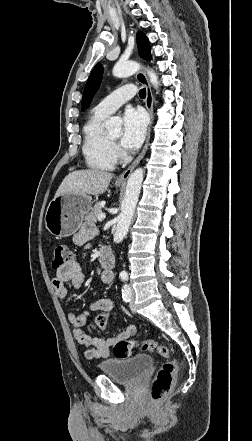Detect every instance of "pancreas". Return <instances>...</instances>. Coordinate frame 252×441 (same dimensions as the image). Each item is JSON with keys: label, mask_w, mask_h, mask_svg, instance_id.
Segmentation results:
<instances>
[{"label": "pancreas", "mask_w": 252, "mask_h": 441, "mask_svg": "<svg viewBox=\"0 0 252 441\" xmlns=\"http://www.w3.org/2000/svg\"><path fill=\"white\" fill-rule=\"evenodd\" d=\"M100 213H102V206L101 203L98 202L97 204H95L92 210L86 215L85 219L91 222H96L98 215Z\"/></svg>", "instance_id": "1"}]
</instances>
